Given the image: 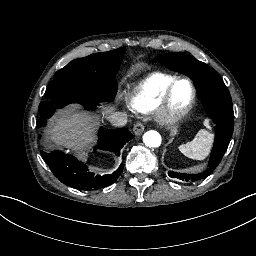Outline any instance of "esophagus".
Instances as JSON below:
<instances>
[{
    "mask_svg": "<svg viewBox=\"0 0 256 256\" xmlns=\"http://www.w3.org/2000/svg\"><path fill=\"white\" fill-rule=\"evenodd\" d=\"M134 134L140 136L144 132V126L142 123H136L133 127Z\"/></svg>",
    "mask_w": 256,
    "mask_h": 256,
    "instance_id": "esophagus-1",
    "label": "esophagus"
}]
</instances>
